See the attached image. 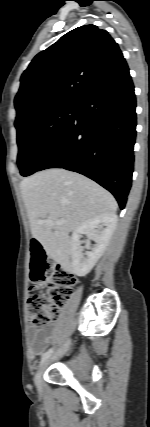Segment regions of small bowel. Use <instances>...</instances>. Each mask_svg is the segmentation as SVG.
<instances>
[{
	"mask_svg": "<svg viewBox=\"0 0 150 427\" xmlns=\"http://www.w3.org/2000/svg\"><path fill=\"white\" fill-rule=\"evenodd\" d=\"M54 328L47 327L41 329H30L29 331V351L33 356L40 355L48 346L53 335Z\"/></svg>",
	"mask_w": 150,
	"mask_h": 427,
	"instance_id": "c3829d8e",
	"label": "small bowel"
}]
</instances>
